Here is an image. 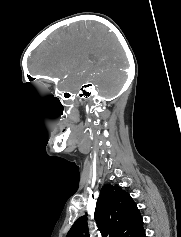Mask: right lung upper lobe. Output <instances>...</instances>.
<instances>
[{"instance_id": "1", "label": "right lung upper lobe", "mask_w": 181, "mask_h": 237, "mask_svg": "<svg viewBox=\"0 0 181 237\" xmlns=\"http://www.w3.org/2000/svg\"><path fill=\"white\" fill-rule=\"evenodd\" d=\"M94 219L102 237H140L144 232L139 209L118 185L101 188ZM66 237H90L86 215L74 222Z\"/></svg>"}]
</instances>
